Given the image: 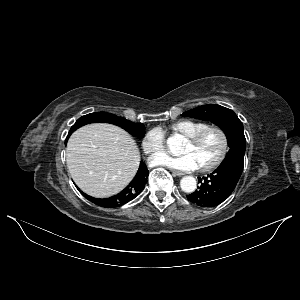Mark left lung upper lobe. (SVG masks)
Masks as SVG:
<instances>
[{"label":"left lung upper lobe","mask_w":300,"mask_h":300,"mask_svg":"<svg viewBox=\"0 0 300 300\" xmlns=\"http://www.w3.org/2000/svg\"><path fill=\"white\" fill-rule=\"evenodd\" d=\"M182 116L211 120L218 125L226 134L228 146L230 147L226 157L236 155L244 157L246 139L244 136L243 124L236 114L220 105H203L182 114Z\"/></svg>","instance_id":"5c2ea615"}]
</instances>
